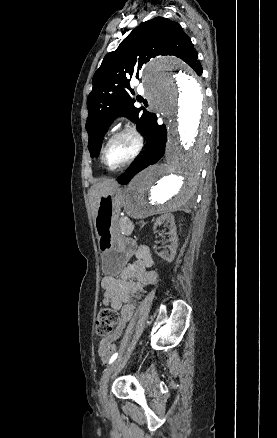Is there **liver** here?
Masks as SVG:
<instances>
[{
	"label": "liver",
	"instance_id": "1",
	"mask_svg": "<svg viewBox=\"0 0 277 438\" xmlns=\"http://www.w3.org/2000/svg\"><path fill=\"white\" fill-rule=\"evenodd\" d=\"M113 188H117V184L114 182V180H107V182H102V184H98V186H92L90 194L93 198L92 208L94 216H96L99 198H101L103 194H108V192H111Z\"/></svg>",
	"mask_w": 277,
	"mask_h": 438
}]
</instances>
